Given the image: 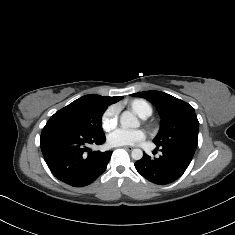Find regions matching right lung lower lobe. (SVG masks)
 Returning <instances> with one entry per match:
<instances>
[{
	"instance_id": "obj_1",
	"label": "right lung lower lobe",
	"mask_w": 235,
	"mask_h": 235,
	"mask_svg": "<svg viewBox=\"0 0 235 235\" xmlns=\"http://www.w3.org/2000/svg\"><path fill=\"white\" fill-rule=\"evenodd\" d=\"M40 146L52 174L62 182L84 187L94 182L107 168L111 151L89 149L101 145L105 135H95L59 121H48L42 130Z\"/></svg>"
}]
</instances>
